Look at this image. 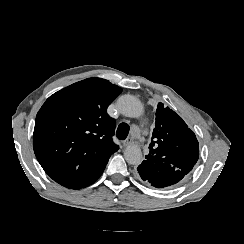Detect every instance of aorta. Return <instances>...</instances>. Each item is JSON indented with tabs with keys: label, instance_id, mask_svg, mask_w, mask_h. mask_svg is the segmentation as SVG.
<instances>
[{
	"label": "aorta",
	"instance_id": "1",
	"mask_svg": "<svg viewBox=\"0 0 244 244\" xmlns=\"http://www.w3.org/2000/svg\"><path fill=\"white\" fill-rule=\"evenodd\" d=\"M117 107L121 114L126 117L138 118L143 114L141 102L131 95L119 97ZM124 157L129 164L139 165L142 162L141 149L135 144L128 145L124 150Z\"/></svg>",
	"mask_w": 244,
	"mask_h": 244
}]
</instances>
